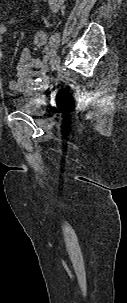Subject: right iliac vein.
<instances>
[{
  "instance_id": "63e3f726",
  "label": "right iliac vein",
  "mask_w": 127,
  "mask_h": 303,
  "mask_svg": "<svg viewBox=\"0 0 127 303\" xmlns=\"http://www.w3.org/2000/svg\"><path fill=\"white\" fill-rule=\"evenodd\" d=\"M59 64H60V58L59 57L54 58V60L51 63V70L57 69L59 67Z\"/></svg>"
}]
</instances>
